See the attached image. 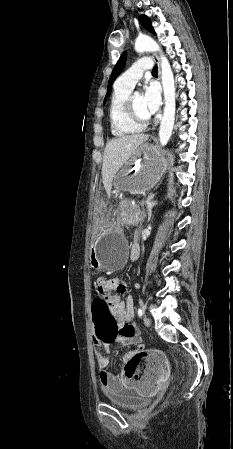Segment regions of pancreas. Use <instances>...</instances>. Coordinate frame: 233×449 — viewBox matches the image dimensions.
Masks as SVG:
<instances>
[{
    "instance_id": "pancreas-1",
    "label": "pancreas",
    "mask_w": 233,
    "mask_h": 449,
    "mask_svg": "<svg viewBox=\"0 0 233 449\" xmlns=\"http://www.w3.org/2000/svg\"><path fill=\"white\" fill-rule=\"evenodd\" d=\"M125 203L127 204L128 208L126 210H121L120 212L121 221H126L132 225H136L139 222H142L145 217L144 211L140 210L135 206H132L129 201Z\"/></svg>"
}]
</instances>
